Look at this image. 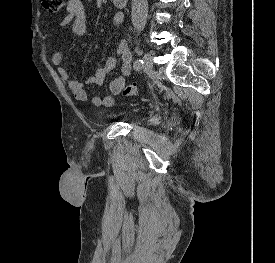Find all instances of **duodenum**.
Returning a JSON list of instances; mask_svg holds the SVG:
<instances>
[{
  "label": "duodenum",
  "instance_id": "obj_1",
  "mask_svg": "<svg viewBox=\"0 0 275 263\" xmlns=\"http://www.w3.org/2000/svg\"><path fill=\"white\" fill-rule=\"evenodd\" d=\"M127 1L128 0H112L113 4L119 8L125 7L127 5Z\"/></svg>",
  "mask_w": 275,
  "mask_h": 263
}]
</instances>
